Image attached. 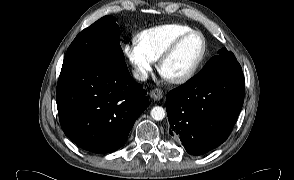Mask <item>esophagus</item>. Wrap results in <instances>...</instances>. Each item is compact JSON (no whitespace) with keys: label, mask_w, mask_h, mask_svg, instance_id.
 Wrapping results in <instances>:
<instances>
[{"label":"esophagus","mask_w":294,"mask_h":180,"mask_svg":"<svg viewBox=\"0 0 294 180\" xmlns=\"http://www.w3.org/2000/svg\"><path fill=\"white\" fill-rule=\"evenodd\" d=\"M150 97L153 100L158 101L163 97V91L160 88H155L150 92Z\"/></svg>","instance_id":"1"}]
</instances>
